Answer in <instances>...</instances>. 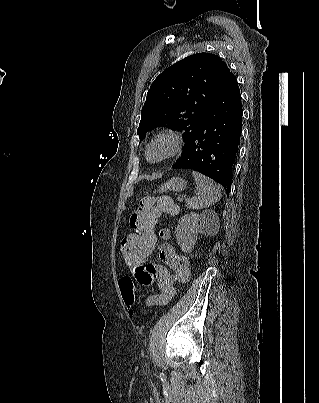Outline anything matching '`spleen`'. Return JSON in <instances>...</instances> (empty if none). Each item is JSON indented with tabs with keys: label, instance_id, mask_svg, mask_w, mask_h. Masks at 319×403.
Instances as JSON below:
<instances>
[{
	"label": "spleen",
	"instance_id": "3e777b00",
	"mask_svg": "<svg viewBox=\"0 0 319 403\" xmlns=\"http://www.w3.org/2000/svg\"><path fill=\"white\" fill-rule=\"evenodd\" d=\"M192 175L196 182L197 196L187 201L189 209H203L219 201L222 197L220 186L207 176L193 171Z\"/></svg>",
	"mask_w": 319,
	"mask_h": 403
}]
</instances>
